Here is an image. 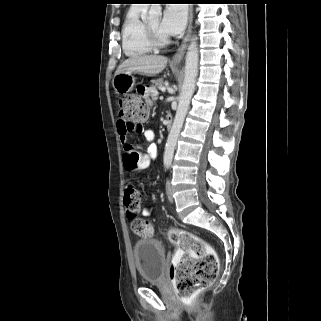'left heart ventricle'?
I'll list each match as a JSON object with an SVG mask.
<instances>
[{
  "mask_svg": "<svg viewBox=\"0 0 321 321\" xmlns=\"http://www.w3.org/2000/svg\"><path fill=\"white\" fill-rule=\"evenodd\" d=\"M148 24L152 27V29L161 37L167 36L160 30V18H155L148 21Z\"/></svg>",
  "mask_w": 321,
  "mask_h": 321,
  "instance_id": "obj_1",
  "label": "left heart ventricle"
}]
</instances>
